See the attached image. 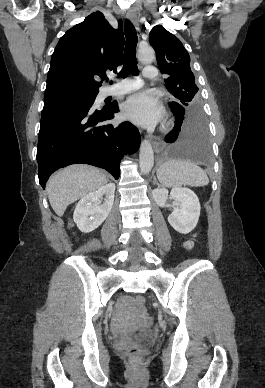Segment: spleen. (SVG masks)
<instances>
[{"instance_id":"3e777b00","label":"spleen","mask_w":265,"mask_h":388,"mask_svg":"<svg viewBox=\"0 0 265 388\" xmlns=\"http://www.w3.org/2000/svg\"><path fill=\"white\" fill-rule=\"evenodd\" d=\"M157 178L166 188L178 186H207L209 180L203 170L190 160H168L157 170Z\"/></svg>"}]
</instances>
